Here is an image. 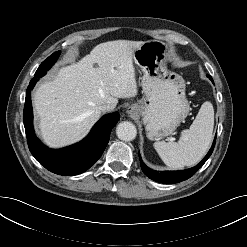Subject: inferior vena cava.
I'll return each mask as SVG.
<instances>
[{
  "mask_svg": "<svg viewBox=\"0 0 247 247\" xmlns=\"http://www.w3.org/2000/svg\"><path fill=\"white\" fill-rule=\"evenodd\" d=\"M99 109L102 111V112H108V111H111L113 110V107L112 105H110L109 103H105V104H102L101 106H99Z\"/></svg>",
  "mask_w": 247,
  "mask_h": 247,
  "instance_id": "obj_1",
  "label": "inferior vena cava"
}]
</instances>
